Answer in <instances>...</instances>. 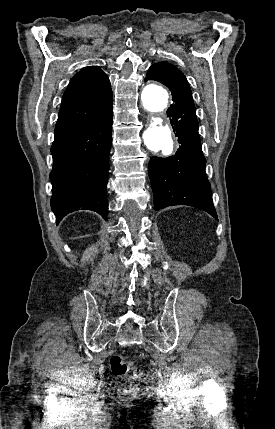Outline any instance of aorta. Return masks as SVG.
I'll return each mask as SVG.
<instances>
[{
  "mask_svg": "<svg viewBox=\"0 0 275 429\" xmlns=\"http://www.w3.org/2000/svg\"><path fill=\"white\" fill-rule=\"evenodd\" d=\"M169 94L164 86L149 82L143 89L141 101L143 107L154 113L163 112L168 105ZM146 147L153 152L171 154L174 148V136L167 123L159 117L153 118L150 126L143 133Z\"/></svg>",
  "mask_w": 275,
  "mask_h": 429,
  "instance_id": "762f6f07",
  "label": "aorta"
}]
</instances>
